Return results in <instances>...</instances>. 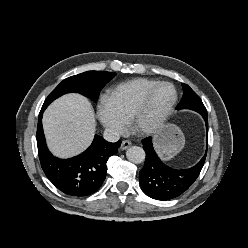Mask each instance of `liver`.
<instances>
[{
	"label": "liver",
	"mask_w": 248,
	"mask_h": 248,
	"mask_svg": "<svg viewBox=\"0 0 248 248\" xmlns=\"http://www.w3.org/2000/svg\"><path fill=\"white\" fill-rule=\"evenodd\" d=\"M42 122L49 149L60 158L84 151L96 130L92 105L79 94H67L55 100L45 110Z\"/></svg>",
	"instance_id": "6515ba94"
}]
</instances>
